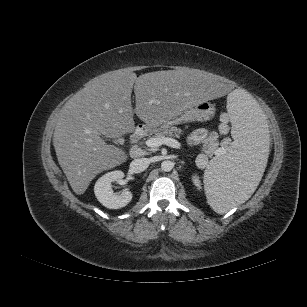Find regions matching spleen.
Returning <instances> with one entry per match:
<instances>
[{
    "label": "spleen",
    "instance_id": "obj_1",
    "mask_svg": "<svg viewBox=\"0 0 307 307\" xmlns=\"http://www.w3.org/2000/svg\"><path fill=\"white\" fill-rule=\"evenodd\" d=\"M227 111L237 130L229 151L213 159L204 172V188L211 208L224 214L247 200L256 189L270 152V133L257 102L231 93Z\"/></svg>",
    "mask_w": 307,
    "mask_h": 307
}]
</instances>
